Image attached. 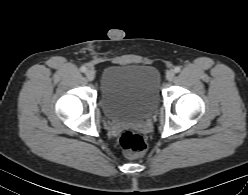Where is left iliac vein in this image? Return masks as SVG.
<instances>
[{
    "instance_id": "obj_1",
    "label": "left iliac vein",
    "mask_w": 248,
    "mask_h": 195,
    "mask_svg": "<svg viewBox=\"0 0 248 195\" xmlns=\"http://www.w3.org/2000/svg\"><path fill=\"white\" fill-rule=\"evenodd\" d=\"M175 77V71L174 70H169L166 74V78L169 81H172Z\"/></svg>"
}]
</instances>
